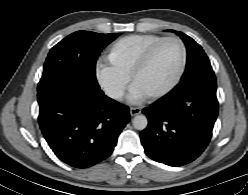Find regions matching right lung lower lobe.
Masks as SVG:
<instances>
[{
	"instance_id": "obj_1",
	"label": "right lung lower lobe",
	"mask_w": 248,
	"mask_h": 195,
	"mask_svg": "<svg viewBox=\"0 0 248 195\" xmlns=\"http://www.w3.org/2000/svg\"><path fill=\"white\" fill-rule=\"evenodd\" d=\"M39 125L55 155L75 168H88L108 158L129 108L76 83H61L38 92Z\"/></svg>"
}]
</instances>
